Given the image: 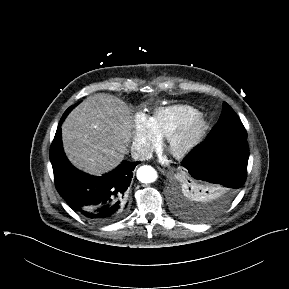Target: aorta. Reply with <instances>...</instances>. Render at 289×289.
<instances>
[{
    "label": "aorta",
    "instance_id": "762f6f07",
    "mask_svg": "<svg viewBox=\"0 0 289 289\" xmlns=\"http://www.w3.org/2000/svg\"><path fill=\"white\" fill-rule=\"evenodd\" d=\"M137 179L142 183H151L157 179V172L151 166H141L137 170Z\"/></svg>",
    "mask_w": 289,
    "mask_h": 289
}]
</instances>
